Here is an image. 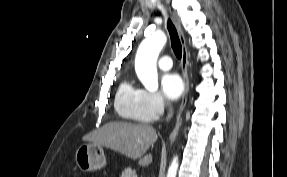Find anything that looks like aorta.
Listing matches in <instances>:
<instances>
[{"mask_svg":"<svg viewBox=\"0 0 287 177\" xmlns=\"http://www.w3.org/2000/svg\"><path fill=\"white\" fill-rule=\"evenodd\" d=\"M166 41V35L158 31L143 40L138 48L135 59V70L138 78L149 91H156L158 89L156 62ZM178 165V157H174L168 168L167 177H176Z\"/></svg>","mask_w":287,"mask_h":177,"instance_id":"1","label":"aorta"}]
</instances>
